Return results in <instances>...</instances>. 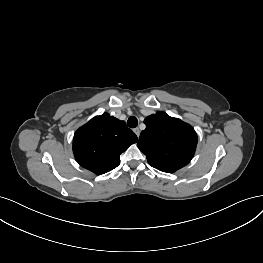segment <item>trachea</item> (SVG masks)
Returning a JSON list of instances; mask_svg holds the SVG:
<instances>
[{"label": "trachea", "instance_id": "obj_1", "mask_svg": "<svg viewBox=\"0 0 263 263\" xmlns=\"http://www.w3.org/2000/svg\"><path fill=\"white\" fill-rule=\"evenodd\" d=\"M127 125L130 128H135L138 125V120L135 116H131L129 117L128 121H127Z\"/></svg>", "mask_w": 263, "mask_h": 263}]
</instances>
